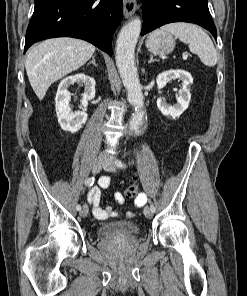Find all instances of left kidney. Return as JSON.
Returning a JSON list of instances; mask_svg holds the SVG:
<instances>
[{"label":"left kidney","mask_w":247,"mask_h":296,"mask_svg":"<svg viewBox=\"0 0 247 296\" xmlns=\"http://www.w3.org/2000/svg\"><path fill=\"white\" fill-rule=\"evenodd\" d=\"M177 78L180 79L183 84L182 89L180 90V95L177 98V103L169 105L161 98L157 100V107L161 113L165 116H170L173 119L179 118V116L188 108L191 99L190 86L193 83V78L190 73L186 71L169 70L159 74L156 79L157 87L158 89H161L167 82Z\"/></svg>","instance_id":"1"}]
</instances>
